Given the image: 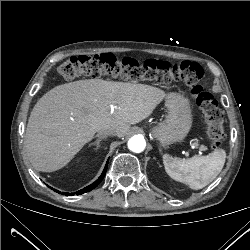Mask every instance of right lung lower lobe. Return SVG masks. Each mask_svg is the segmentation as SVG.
Masks as SVG:
<instances>
[{
	"label": "right lung lower lobe",
	"instance_id": "obj_1",
	"mask_svg": "<svg viewBox=\"0 0 250 250\" xmlns=\"http://www.w3.org/2000/svg\"><path fill=\"white\" fill-rule=\"evenodd\" d=\"M107 166H108V162L105 165V168H104L101 176L94 183H92L91 185L83 188L82 190L77 191L75 194H83V193L91 191L92 189H94L95 187H97V185L103 180V178L105 176V173H106V170H107ZM56 192H58V191H56ZM59 193H61V192H59ZM62 194H64V192ZM66 195H69V193H66ZM71 195H74V193H71Z\"/></svg>",
	"mask_w": 250,
	"mask_h": 250
}]
</instances>
